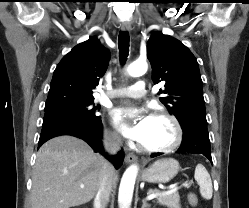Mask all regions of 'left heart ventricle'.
I'll list each match as a JSON object with an SVG mask.
<instances>
[{"label":"left heart ventricle","instance_id":"obj_1","mask_svg":"<svg viewBox=\"0 0 249 208\" xmlns=\"http://www.w3.org/2000/svg\"><path fill=\"white\" fill-rule=\"evenodd\" d=\"M175 138V131L165 118L152 117L148 133L141 143L146 147L157 148L171 144Z\"/></svg>","mask_w":249,"mask_h":208}]
</instances>
